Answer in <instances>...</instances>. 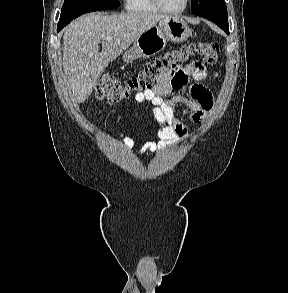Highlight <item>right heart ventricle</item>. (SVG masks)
Segmentation results:
<instances>
[{"mask_svg":"<svg viewBox=\"0 0 288 293\" xmlns=\"http://www.w3.org/2000/svg\"><path fill=\"white\" fill-rule=\"evenodd\" d=\"M126 9L135 13H156L158 8L152 0H125Z\"/></svg>","mask_w":288,"mask_h":293,"instance_id":"1","label":"right heart ventricle"}]
</instances>
